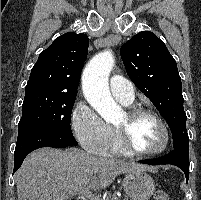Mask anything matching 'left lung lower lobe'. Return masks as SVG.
Returning <instances> with one entry per match:
<instances>
[{"instance_id":"left-lung-lower-lobe-1","label":"left lung lower lobe","mask_w":201,"mask_h":200,"mask_svg":"<svg viewBox=\"0 0 201 200\" xmlns=\"http://www.w3.org/2000/svg\"><path fill=\"white\" fill-rule=\"evenodd\" d=\"M189 145H182L174 148L173 151L165 156L155 159L142 160L140 163L149 165L171 164L183 170L186 183L189 179Z\"/></svg>"}]
</instances>
